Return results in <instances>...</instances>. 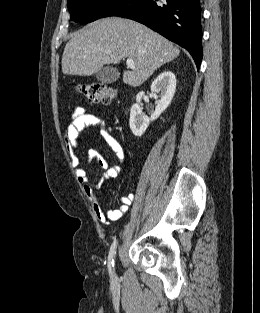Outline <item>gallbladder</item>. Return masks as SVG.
<instances>
[{"label": "gallbladder", "instance_id": "obj_1", "mask_svg": "<svg viewBox=\"0 0 260 313\" xmlns=\"http://www.w3.org/2000/svg\"><path fill=\"white\" fill-rule=\"evenodd\" d=\"M95 77L98 81L103 84H111L117 81L119 77V72L116 68L106 67L100 70L95 74Z\"/></svg>", "mask_w": 260, "mask_h": 313}]
</instances>
